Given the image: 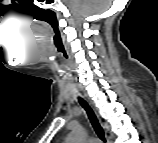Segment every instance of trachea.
Instances as JSON below:
<instances>
[{"label":"trachea","mask_w":158,"mask_h":143,"mask_svg":"<svg viewBox=\"0 0 158 143\" xmlns=\"http://www.w3.org/2000/svg\"><path fill=\"white\" fill-rule=\"evenodd\" d=\"M79 103L86 110L87 115H88V117L92 123V126L94 127L97 135L100 137L101 140L104 141L105 140L104 131H103L102 127L100 126L94 112L92 111L90 106L86 103V101L83 100L82 98H79Z\"/></svg>","instance_id":"obj_1"}]
</instances>
